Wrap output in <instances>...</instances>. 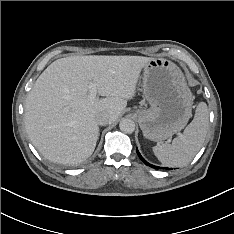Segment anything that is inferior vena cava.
Instances as JSON below:
<instances>
[{"label": "inferior vena cava", "instance_id": "1", "mask_svg": "<svg viewBox=\"0 0 234 234\" xmlns=\"http://www.w3.org/2000/svg\"><path fill=\"white\" fill-rule=\"evenodd\" d=\"M96 122L99 125H106V124L110 123V116H109V114L106 113V112L99 113L96 116Z\"/></svg>", "mask_w": 234, "mask_h": 234}]
</instances>
